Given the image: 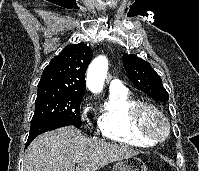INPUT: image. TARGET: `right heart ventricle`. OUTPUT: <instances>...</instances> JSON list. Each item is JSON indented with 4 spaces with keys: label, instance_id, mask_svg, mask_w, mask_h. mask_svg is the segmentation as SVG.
I'll return each mask as SVG.
<instances>
[{
    "label": "right heart ventricle",
    "instance_id": "1",
    "mask_svg": "<svg viewBox=\"0 0 199 171\" xmlns=\"http://www.w3.org/2000/svg\"><path fill=\"white\" fill-rule=\"evenodd\" d=\"M139 102L126 88L109 90L97 118L99 133L104 138L119 143L154 146L157 142L140 134L134 125L133 110Z\"/></svg>",
    "mask_w": 199,
    "mask_h": 171
}]
</instances>
